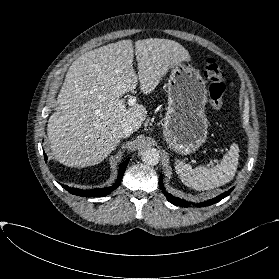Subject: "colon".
I'll return each instance as SVG.
<instances>
[{
	"mask_svg": "<svg viewBox=\"0 0 279 279\" xmlns=\"http://www.w3.org/2000/svg\"><path fill=\"white\" fill-rule=\"evenodd\" d=\"M203 72L209 82V102L215 111L221 110L223 106V95L225 92L224 73L219 63L214 58L205 60Z\"/></svg>",
	"mask_w": 279,
	"mask_h": 279,
	"instance_id": "5ec220e1",
	"label": "colon"
}]
</instances>
